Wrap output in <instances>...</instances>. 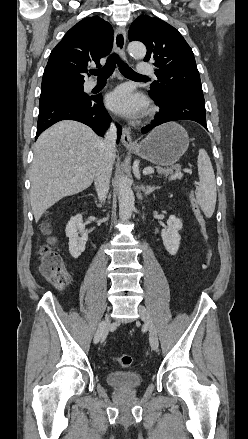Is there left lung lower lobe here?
<instances>
[{"mask_svg":"<svg viewBox=\"0 0 248 439\" xmlns=\"http://www.w3.org/2000/svg\"><path fill=\"white\" fill-rule=\"evenodd\" d=\"M152 98L160 107V111L155 116L152 124L142 129L143 134H146L158 125L176 120H192L207 129L204 101L186 97H175L161 103L154 97Z\"/></svg>","mask_w":248,"mask_h":439,"instance_id":"obj_1","label":"left lung lower lobe"}]
</instances>
